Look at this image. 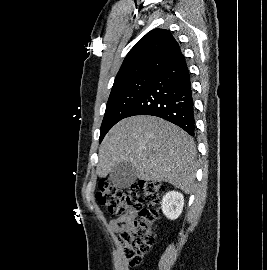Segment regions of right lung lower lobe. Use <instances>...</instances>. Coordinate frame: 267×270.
I'll return each instance as SVG.
<instances>
[{"label":"right lung lower lobe","instance_id":"1","mask_svg":"<svg viewBox=\"0 0 267 270\" xmlns=\"http://www.w3.org/2000/svg\"><path fill=\"white\" fill-rule=\"evenodd\" d=\"M153 115L195 135V113L190 74L180 52L154 76L151 84L126 117Z\"/></svg>","mask_w":267,"mask_h":270}]
</instances>
